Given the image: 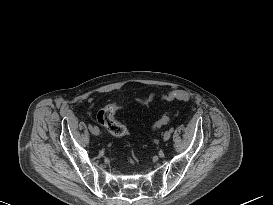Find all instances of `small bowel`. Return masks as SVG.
Here are the masks:
<instances>
[{"mask_svg":"<svg viewBox=\"0 0 273 205\" xmlns=\"http://www.w3.org/2000/svg\"><path fill=\"white\" fill-rule=\"evenodd\" d=\"M154 97H155V94L150 93L147 96H145V97H143L141 99H138V101L144 106H149L153 102Z\"/></svg>","mask_w":273,"mask_h":205,"instance_id":"c3829d8e","label":"small bowel"}]
</instances>
